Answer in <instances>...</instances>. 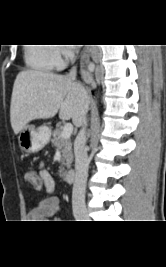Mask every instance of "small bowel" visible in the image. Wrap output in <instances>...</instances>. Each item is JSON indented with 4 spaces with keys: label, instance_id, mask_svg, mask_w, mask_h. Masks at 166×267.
I'll use <instances>...</instances> for the list:
<instances>
[{
    "label": "small bowel",
    "instance_id": "obj_1",
    "mask_svg": "<svg viewBox=\"0 0 166 267\" xmlns=\"http://www.w3.org/2000/svg\"><path fill=\"white\" fill-rule=\"evenodd\" d=\"M38 175V177H42L45 191L52 194L55 190V180L52 175L45 169H40ZM59 202V197L55 195L44 198L29 212V220L43 222L50 217L57 216L59 214Z\"/></svg>",
    "mask_w": 166,
    "mask_h": 267
}]
</instances>
